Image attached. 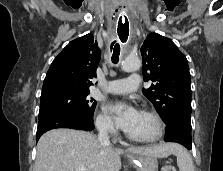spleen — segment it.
<instances>
[{
    "label": "spleen",
    "mask_w": 223,
    "mask_h": 171,
    "mask_svg": "<svg viewBox=\"0 0 223 171\" xmlns=\"http://www.w3.org/2000/svg\"><path fill=\"white\" fill-rule=\"evenodd\" d=\"M173 153L177 157V165L180 171H194L192 157L182 146L175 144Z\"/></svg>",
    "instance_id": "1"
}]
</instances>
